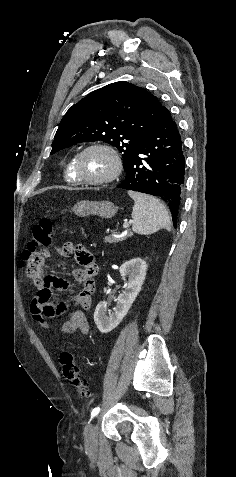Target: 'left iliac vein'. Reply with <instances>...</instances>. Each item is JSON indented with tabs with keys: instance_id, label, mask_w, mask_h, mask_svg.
Segmentation results:
<instances>
[{
	"instance_id": "4c4485c4",
	"label": "left iliac vein",
	"mask_w": 236,
	"mask_h": 477,
	"mask_svg": "<svg viewBox=\"0 0 236 477\" xmlns=\"http://www.w3.org/2000/svg\"><path fill=\"white\" fill-rule=\"evenodd\" d=\"M102 413L98 412L93 417V424H88L84 429V442L88 450H94L98 445V428L97 425L102 421Z\"/></svg>"
}]
</instances>
